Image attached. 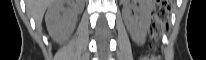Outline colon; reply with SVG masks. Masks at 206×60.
Instances as JSON below:
<instances>
[{
    "label": "colon",
    "instance_id": "obj_1",
    "mask_svg": "<svg viewBox=\"0 0 206 60\" xmlns=\"http://www.w3.org/2000/svg\"><path fill=\"white\" fill-rule=\"evenodd\" d=\"M171 7L170 0H157L155 1L152 11V24L150 27V33L152 41L155 43L158 40L159 35L164 31L167 22L168 12Z\"/></svg>",
    "mask_w": 206,
    "mask_h": 60
}]
</instances>
